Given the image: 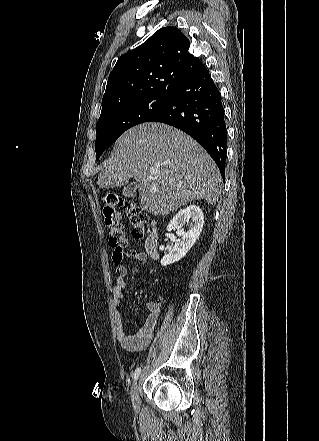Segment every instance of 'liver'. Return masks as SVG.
<instances>
[{"instance_id":"1","label":"liver","mask_w":319,"mask_h":441,"mask_svg":"<svg viewBox=\"0 0 319 441\" xmlns=\"http://www.w3.org/2000/svg\"><path fill=\"white\" fill-rule=\"evenodd\" d=\"M131 178L136 179L143 208L153 215H166L194 200L214 205L222 187L220 172L201 145L163 123H143L122 134L98 185L121 187Z\"/></svg>"}]
</instances>
